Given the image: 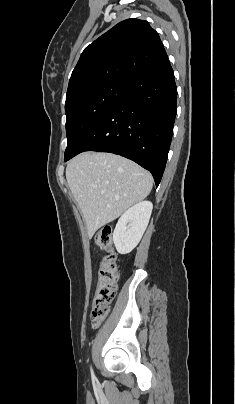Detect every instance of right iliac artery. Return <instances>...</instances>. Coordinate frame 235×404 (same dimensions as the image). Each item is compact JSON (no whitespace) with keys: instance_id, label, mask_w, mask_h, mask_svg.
<instances>
[{"instance_id":"right-iliac-artery-1","label":"right iliac artery","mask_w":235,"mask_h":404,"mask_svg":"<svg viewBox=\"0 0 235 404\" xmlns=\"http://www.w3.org/2000/svg\"><path fill=\"white\" fill-rule=\"evenodd\" d=\"M91 374H92V379L94 380V379H95V376H94V373H93L92 368H91Z\"/></svg>"}]
</instances>
